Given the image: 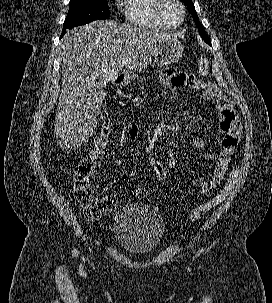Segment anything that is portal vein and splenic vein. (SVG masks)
Segmentation results:
<instances>
[{"mask_svg": "<svg viewBox=\"0 0 272 303\" xmlns=\"http://www.w3.org/2000/svg\"><path fill=\"white\" fill-rule=\"evenodd\" d=\"M126 62H128V60H126V59H123V63H126Z\"/></svg>", "mask_w": 272, "mask_h": 303, "instance_id": "18ae733b", "label": "portal vein and splenic vein"}]
</instances>
